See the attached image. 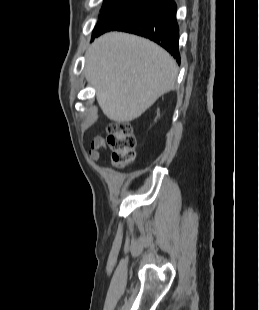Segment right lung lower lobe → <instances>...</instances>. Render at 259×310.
Masks as SVG:
<instances>
[{
  "label": "right lung lower lobe",
  "mask_w": 259,
  "mask_h": 310,
  "mask_svg": "<svg viewBox=\"0 0 259 310\" xmlns=\"http://www.w3.org/2000/svg\"><path fill=\"white\" fill-rule=\"evenodd\" d=\"M176 9L174 0H160L156 6L116 30L137 34L158 43L180 63Z\"/></svg>",
  "instance_id": "98d812e1"
}]
</instances>
